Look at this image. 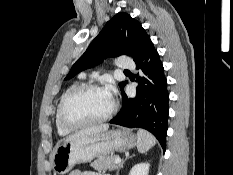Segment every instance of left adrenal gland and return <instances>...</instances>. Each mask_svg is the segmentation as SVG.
I'll return each instance as SVG.
<instances>
[{"instance_id":"obj_1","label":"left adrenal gland","mask_w":233,"mask_h":175,"mask_svg":"<svg viewBox=\"0 0 233 175\" xmlns=\"http://www.w3.org/2000/svg\"><path fill=\"white\" fill-rule=\"evenodd\" d=\"M134 156H135V155L133 154V155L130 156L129 158H132V157H134ZM126 160H127V158H126L125 160H123V161L119 164V166H118V168H117L116 175H118L119 170H120L121 168H123V164L125 163Z\"/></svg>"}]
</instances>
